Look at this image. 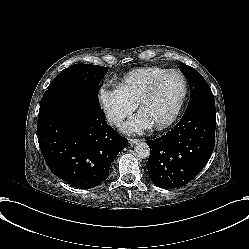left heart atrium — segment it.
I'll return each instance as SVG.
<instances>
[{
    "label": "left heart atrium",
    "mask_w": 249,
    "mask_h": 249,
    "mask_svg": "<svg viewBox=\"0 0 249 249\" xmlns=\"http://www.w3.org/2000/svg\"><path fill=\"white\" fill-rule=\"evenodd\" d=\"M131 130L142 132V130L149 129V123L143 117H136L130 122Z\"/></svg>",
    "instance_id": "1"
}]
</instances>
